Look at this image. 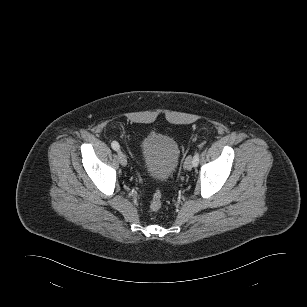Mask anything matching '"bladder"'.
<instances>
[{
  "label": "bladder",
  "instance_id": "obj_1",
  "mask_svg": "<svg viewBox=\"0 0 307 307\" xmlns=\"http://www.w3.org/2000/svg\"><path fill=\"white\" fill-rule=\"evenodd\" d=\"M140 155L147 175L155 181L165 182L176 170L180 150L171 136L152 133L141 140Z\"/></svg>",
  "mask_w": 307,
  "mask_h": 307
}]
</instances>
